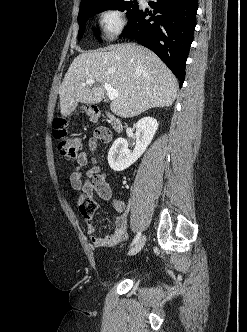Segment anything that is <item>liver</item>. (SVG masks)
Wrapping results in <instances>:
<instances>
[{
    "label": "liver",
    "instance_id": "obj_1",
    "mask_svg": "<svg viewBox=\"0 0 247 332\" xmlns=\"http://www.w3.org/2000/svg\"><path fill=\"white\" fill-rule=\"evenodd\" d=\"M89 79L95 80L93 87L81 86ZM102 83L118 90L110 109L122 118L154 107H170L178 90L176 77L150 50L136 43L110 45L73 60L58 90L62 117L73 112L79 102H101L105 95Z\"/></svg>",
    "mask_w": 247,
    "mask_h": 332
}]
</instances>
